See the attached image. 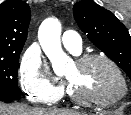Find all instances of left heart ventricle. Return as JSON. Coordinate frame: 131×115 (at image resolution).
<instances>
[{
    "label": "left heart ventricle",
    "instance_id": "obj_1",
    "mask_svg": "<svg viewBox=\"0 0 131 115\" xmlns=\"http://www.w3.org/2000/svg\"><path fill=\"white\" fill-rule=\"evenodd\" d=\"M65 77L78 95L109 98L117 95L121 89L115 71L102 61H93L83 67L74 64L65 73Z\"/></svg>",
    "mask_w": 131,
    "mask_h": 115
}]
</instances>
